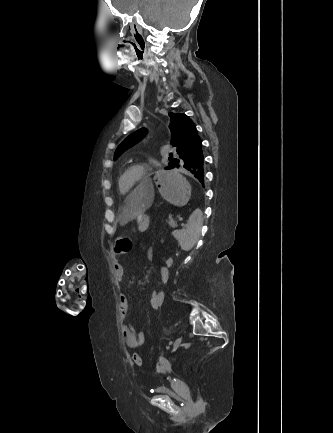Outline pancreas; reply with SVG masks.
<instances>
[{
    "label": "pancreas",
    "instance_id": "cf45deb5",
    "mask_svg": "<svg viewBox=\"0 0 333 433\" xmlns=\"http://www.w3.org/2000/svg\"><path fill=\"white\" fill-rule=\"evenodd\" d=\"M167 222L169 225L171 222L173 223V225H170L172 228H175L177 226V223L172 219L171 215H169Z\"/></svg>",
    "mask_w": 333,
    "mask_h": 433
}]
</instances>
